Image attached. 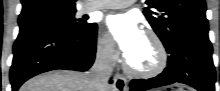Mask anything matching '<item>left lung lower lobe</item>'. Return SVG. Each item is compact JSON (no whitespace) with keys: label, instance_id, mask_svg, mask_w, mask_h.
<instances>
[{"label":"left lung lower lobe","instance_id":"0a47b994","mask_svg":"<svg viewBox=\"0 0 220 91\" xmlns=\"http://www.w3.org/2000/svg\"><path fill=\"white\" fill-rule=\"evenodd\" d=\"M168 66L157 77L131 80V91H143L184 83L199 91H214L215 69L212 61V46L207 40L184 39L167 50Z\"/></svg>","mask_w":220,"mask_h":91}]
</instances>
